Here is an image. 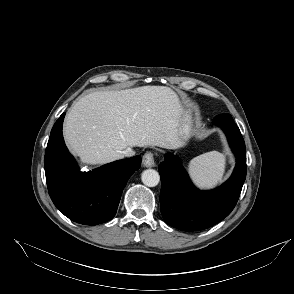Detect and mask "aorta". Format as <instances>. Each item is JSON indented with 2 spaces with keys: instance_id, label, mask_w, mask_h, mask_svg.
<instances>
[{
  "instance_id": "aorta-1",
  "label": "aorta",
  "mask_w": 294,
  "mask_h": 294,
  "mask_svg": "<svg viewBox=\"0 0 294 294\" xmlns=\"http://www.w3.org/2000/svg\"><path fill=\"white\" fill-rule=\"evenodd\" d=\"M141 180L148 187H155L160 182V175L154 169H146L141 174Z\"/></svg>"
}]
</instances>
